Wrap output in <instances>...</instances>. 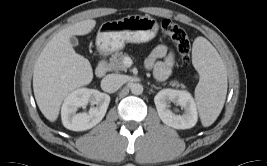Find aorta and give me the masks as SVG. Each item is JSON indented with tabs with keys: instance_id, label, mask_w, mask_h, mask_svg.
Segmentation results:
<instances>
[{
	"instance_id": "obj_1",
	"label": "aorta",
	"mask_w": 267,
	"mask_h": 166,
	"mask_svg": "<svg viewBox=\"0 0 267 166\" xmlns=\"http://www.w3.org/2000/svg\"><path fill=\"white\" fill-rule=\"evenodd\" d=\"M131 92L134 95H140L143 92V86L139 83H134L131 85Z\"/></svg>"
}]
</instances>
